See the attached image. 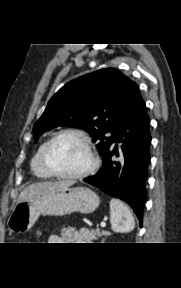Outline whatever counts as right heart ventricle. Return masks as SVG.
Returning a JSON list of instances; mask_svg holds the SVG:
<instances>
[{
    "label": "right heart ventricle",
    "mask_w": 181,
    "mask_h": 288,
    "mask_svg": "<svg viewBox=\"0 0 181 288\" xmlns=\"http://www.w3.org/2000/svg\"><path fill=\"white\" fill-rule=\"evenodd\" d=\"M47 141H44L31 160V170L33 174L39 179H51L53 176L46 170L42 162V152Z\"/></svg>",
    "instance_id": "e07e8e85"
}]
</instances>
